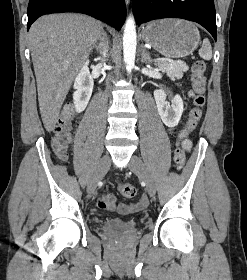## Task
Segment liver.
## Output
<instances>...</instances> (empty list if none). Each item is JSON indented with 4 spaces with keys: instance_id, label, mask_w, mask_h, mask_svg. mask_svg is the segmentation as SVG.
Returning a JSON list of instances; mask_svg holds the SVG:
<instances>
[{
    "instance_id": "1",
    "label": "liver",
    "mask_w": 247,
    "mask_h": 280,
    "mask_svg": "<svg viewBox=\"0 0 247 280\" xmlns=\"http://www.w3.org/2000/svg\"><path fill=\"white\" fill-rule=\"evenodd\" d=\"M103 34L100 21L80 14H50L37 19L29 42L41 118L51 132L72 81Z\"/></svg>"
}]
</instances>
